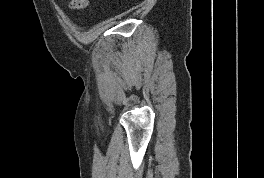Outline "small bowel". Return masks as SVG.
Wrapping results in <instances>:
<instances>
[{
	"label": "small bowel",
	"mask_w": 264,
	"mask_h": 178,
	"mask_svg": "<svg viewBox=\"0 0 264 178\" xmlns=\"http://www.w3.org/2000/svg\"><path fill=\"white\" fill-rule=\"evenodd\" d=\"M88 5V0H71L70 6L75 10H81Z\"/></svg>",
	"instance_id": "1"
}]
</instances>
